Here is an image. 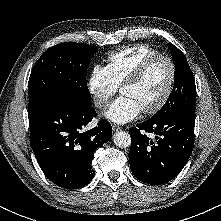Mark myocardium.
Here are the masks:
<instances>
[{
    "label": "myocardium",
    "mask_w": 221,
    "mask_h": 221,
    "mask_svg": "<svg viewBox=\"0 0 221 221\" xmlns=\"http://www.w3.org/2000/svg\"><path fill=\"white\" fill-rule=\"evenodd\" d=\"M158 59L165 60L169 64L170 79L168 82L167 89H166L164 95L162 96V98L154 106L142 110V112L146 115H153V114L158 113L160 110H162L165 107V105L168 103L170 97L172 96V93L174 90V85L176 82V76H177L176 65H175V62L173 61V59L170 56H168L166 54H162V53H157L155 55L147 57L132 71V73L129 75V77H127L121 83L120 88H119V91L121 92V90L124 87L134 85L137 81H139L141 79V77L144 75L145 71L151 65V63H153L155 60H158Z\"/></svg>",
    "instance_id": "myocardium-1"
}]
</instances>
